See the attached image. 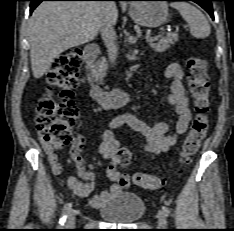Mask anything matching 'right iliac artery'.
<instances>
[{"label":"right iliac artery","instance_id":"1","mask_svg":"<svg viewBox=\"0 0 234 231\" xmlns=\"http://www.w3.org/2000/svg\"><path fill=\"white\" fill-rule=\"evenodd\" d=\"M71 207H72V204L71 203H67L63 210H62V213H61V217L59 219V222H58V228H62L64 226V222L68 216V213L70 212L71 210Z\"/></svg>","mask_w":234,"mask_h":231}]
</instances>
